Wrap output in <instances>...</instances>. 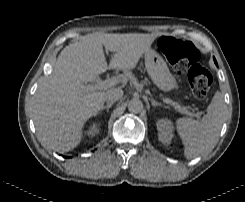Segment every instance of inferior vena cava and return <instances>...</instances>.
Returning a JSON list of instances; mask_svg holds the SVG:
<instances>
[{
	"label": "inferior vena cava",
	"instance_id": "obj_1",
	"mask_svg": "<svg viewBox=\"0 0 245 202\" xmlns=\"http://www.w3.org/2000/svg\"><path fill=\"white\" fill-rule=\"evenodd\" d=\"M123 96V91L120 88H115L108 90L105 96L107 103H114L121 99Z\"/></svg>",
	"mask_w": 245,
	"mask_h": 202
}]
</instances>
